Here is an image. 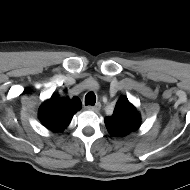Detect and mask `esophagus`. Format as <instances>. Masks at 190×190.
<instances>
[{"label": "esophagus", "mask_w": 190, "mask_h": 190, "mask_svg": "<svg viewBox=\"0 0 190 190\" xmlns=\"http://www.w3.org/2000/svg\"><path fill=\"white\" fill-rule=\"evenodd\" d=\"M87 109L90 111H94V112H99V110L101 109V104L97 103L95 106H87Z\"/></svg>", "instance_id": "34e87169"}]
</instances>
